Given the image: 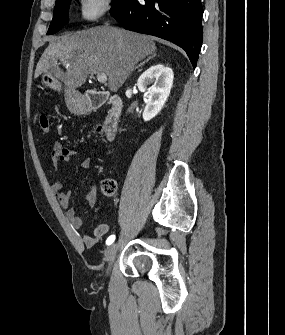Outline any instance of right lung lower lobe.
I'll return each instance as SVG.
<instances>
[{"mask_svg":"<svg viewBox=\"0 0 285 335\" xmlns=\"http://www.w3.org/2000/svg\"><path fill=\"white\" fill-rule=\"evenodd\" d=\"M110 13L125 29L180 46L195 68L203 40L201 0H117Z\"/></svg>","mask_w":285,"mask_h":335,"instance_id":"obj_1","label":"right lung lower lobe"}]
</instances>
